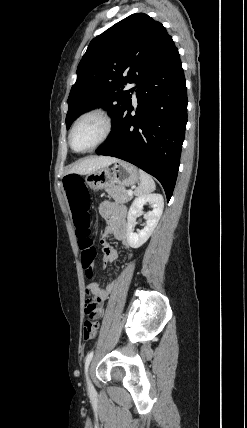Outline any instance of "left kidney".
I'll return each mask as SVG.
<instances>
[{
	"label": "left kidney",
	"mask_w": 247,
	"mask_h": 428,
	"mask_svg": "<svg viewBox=\"0 0 247 428\" xmlns=\"http://www.w3.org/2000/svg\"><path fill=\"white\" fill-rule=\"evenodd\" d=\"M146 203L151 205L152 210L144 214L146 226L136 233L134 232L136 217L142 213ZM163 208L164 200L160 194L141 195L133 201L127 216V242L130 247L139 248L149 239L158 224Z\"/></svg>",
	"instance_id": "obj_1"
}]
</instances>
